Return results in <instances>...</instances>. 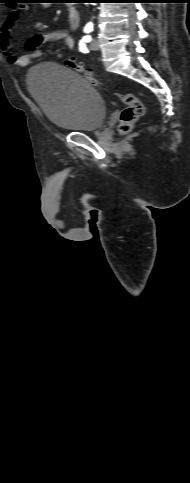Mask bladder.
<instances>
[{"mask_svg":"<svg viewBox=\"0 0 190 483\" xmlns=\"http://www.w3.org/2000/svg\"><path fill=\"white\" fill-rule=\"evenodd\" d=\"M27 86L45 117L60 128L95 131L106 118V105L100 94L67 66L40 63L28 73Z\"/></svg>","mask_w":190,"mask_h":483,"instance_id":"31cf9c89","label":"bladder"}]
</instances>
